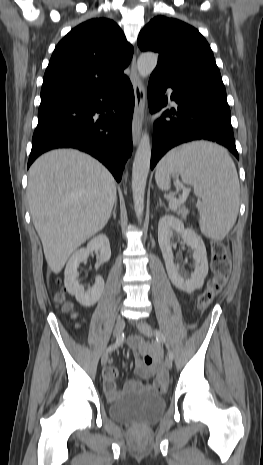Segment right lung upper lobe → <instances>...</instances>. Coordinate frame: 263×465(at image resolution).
Returning a JSON list of instances; mask_svg holds the SVG:
<instances>
[{
  "instance_id": "right-lung-upper-lobe-1",
  "label": "right lung upper lobe",
  "mask_w": 263,
  "mask_h": 465,
  "mask_svg": "<svg viewBox=\"0 0 263 465\" xmlns=\"http://www.w3.org/2000/svg\"><path fill=\"white\" fill-rule=\"evenodd\" d=\"M132 55V46L114 21L81 23L56 46L44 74L41 101L118 83Z\"/></svg>"
}]
</instances>
